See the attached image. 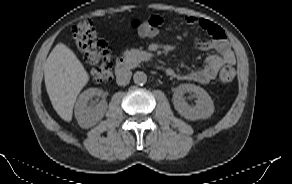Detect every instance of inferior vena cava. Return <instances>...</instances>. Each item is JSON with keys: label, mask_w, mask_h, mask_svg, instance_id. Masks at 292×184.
I'll list each match as a JSON object with an SVG mask.
<instances>
[{"label": "inferior vena cava", "mask_w": 292, "mask_h": 184, "mask_svg": "<svg viewBox=\"0 0 292 184\" xmlns=\"http://www.w3.org/2000/svg\"><path fill=\"white\" fill-rule=\"evenodd\" d=\"M132 72L130 70H120L117 72L116 82L118 85H126L129 83Z\"/></svg>", "instance_id": "1"}]
</instances>
